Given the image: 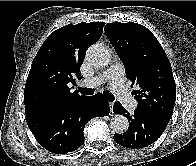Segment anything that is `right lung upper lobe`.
<instances>
[{"mask_svg": "<svg viewBox=\"0 0 196 166\" xmlns=\"http://www.w3.org/2000/svg\"><path fill=\"white\" fill-rule=\"evenodd\" d=\"M103 22L68 24L54 31L36 54L25 84L26 117H32L76 100L68 83L81 78L79 68L90 45L102 35Z\"/></svg>", "mask_w": 196, "mask_h": 166, "instance_id": "right-lung-upper-lobe-1", "label": "right lung upper lobe"}]
</instances>
